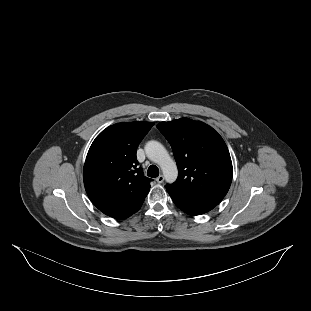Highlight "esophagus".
Listing matches in <instances>:
<instances>
[{
    "mask_svg": "<svg viewBox=\"0 0 311 311\" xmlns=\"http://www.w3.org/2000/svg\"><path fill=\"white\" fill-rule=\"evenodd\" d=\"M156 181L158 183H162L164 181V176L163 175H159L157 178H156Z\"/></svg>",
    "mask_w": 311,
    "mask_h": 311,
    "instance_id": "esophagus-1",
    "label": "esophagus"
}]
</instances>
